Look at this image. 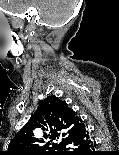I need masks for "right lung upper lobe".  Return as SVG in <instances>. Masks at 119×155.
Returning a JSON list of instances; mask_svg holds the SVG:
<instances>
[{"label": "right lung upper lobe", "instance_id": "cb5924a9", "mask_svg": "<svg viewBox=\"0 0 119 155\" xmlns=\"http://www.w3.org/2000/svg\"><path fill=\"white\" fill-rule=\"evenodd\" d=\"M81 118L76 116L65 101L56 96L43 100L31 119L11 140L4 155H57L64 144L84 128ZM35 128L43 130L48 142L33 135ZM60 139L56 144L54 141Z\"/></svg>", "mask_w": 119, "mask_h": 155}]
</instances>
